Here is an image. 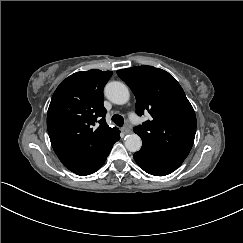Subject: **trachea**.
<instances>
[{"label":"trachea","mask_w":243,"mask_h":243,"mask_svg":"<svg viewBox=\"0 0 243 243\" xmlns=\"http://www.w3.org/2000/svg\"><path fill=\"white\" fill-rule=\"evenodd\" d=\"M112 121L119 127H122L124 124L123 117L121 115L115 114L112 116Z\"/></svg>","instance_id":"3493384b"}]
</instances>
